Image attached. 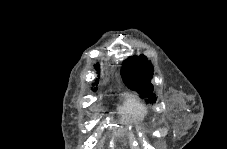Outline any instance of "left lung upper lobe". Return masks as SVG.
I'll return each instance as SVG.
<instances>
[{
    "label": "left lung upper lobe",
    "mask_w": 227,
    "mask_h": 149,
    "mask_svg": "<svg viewBox=\"0 0 227 149\" xmlns=\"http://www.w3.org/2000/svg\"><path fill=\"white\" fill-rule=\"evenodd\" d=\"M153 66L144 55L129 57L123 62L121 76L127 87L137 91L148 102H155L156 97L151 84Z\"/></svg>",
    "instance_id": "left-lung-upper-lobe-1"
}]
</instances>
